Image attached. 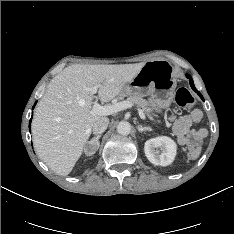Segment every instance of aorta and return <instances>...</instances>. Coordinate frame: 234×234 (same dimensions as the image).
I'll list each match as a JSON object with an SVG mask.
<instances>
[{"label":"aorta","instance_id":"762f6f07","mask_svg":"<svg viewBox=\"0 0 234 234\" xmlns=\"http://www.w3.org/2000/svg\"><path fill=\"white\" fill-rule=\"evenodd\" d=\"M117 132L121 135H128L131 132V125L127 121H121L117 125Z\"/></svg>","mask_w":234,"mask_h":234}]
</instances>
